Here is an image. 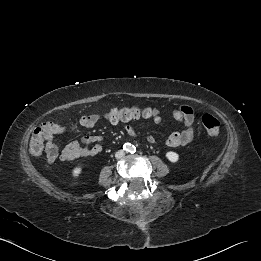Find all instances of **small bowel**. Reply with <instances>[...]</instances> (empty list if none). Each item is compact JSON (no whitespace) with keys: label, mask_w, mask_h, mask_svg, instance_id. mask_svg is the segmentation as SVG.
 I'll list each match as a JSON object with an SVG mask.
<instances>
[{"label":"small bowel","mask_w":261,"mask_h":261,"mask_svg":"<svg viewBox=\"0 0 261 261\" xmlns=\"http://www.w3.org/2000/svg\"><path fill=\"white\" fill-rule=\"evenodd\" d=\"M173 118L183 125V129L180 131H172L167 140L166 144L169 147H180L186 146L192 142L194 138V122L195 115L194 111L190 106L183 105L172 111ZM100 120L99 115L91 114L83 116L79 120V126L84 128L94 127ZM109 121V120H108ZM111 124H118L120 121H109ZM153 122L159 124L161 122L160 116H154ZM48 128V134L46 137V155L49 162H54L58 157L62 161L74 160L80 157H92L101 152L102 146L100 144L102 138L97 135L85 136L82 138L81 145L77 141L68 143L59 155L58 147L53 142V135L62 134L68 132L71 128L69 126H62L56 123H46ZM125 130L128 134H134V129L131 126H125ZM149 143H155L156 139L154 136L149 135L147 137ZM95 143L94 145H89Z\"/></svg>","instance_id":"small-bowel-1"}]
</instances>
